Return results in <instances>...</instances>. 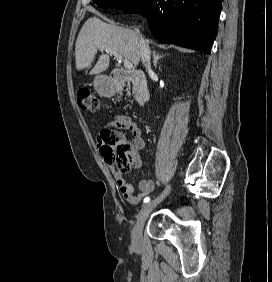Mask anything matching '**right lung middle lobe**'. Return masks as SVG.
<instances>
[{"instance_id": "obj_1", "label": "right lung middle lobe", "mask_w": 272, "mask_h": 282, "mask_svg": "<svg viewBox=\"0 0 272 282\" xmlns=\"http://www.w3.org/2000/svg\"><path fill=\"white\" fill-rule=\"evenodd\" d=\"M103 9L116 8L126 10L138 4L141 0H93Z\"/></svg>"}]
</instances>
